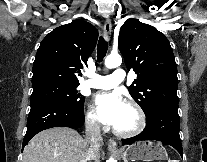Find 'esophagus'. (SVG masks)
<instances>
[{"mask_svg":"<svg viewBox=\"0 0 207 162\" xmlns=\"http://www.w3.org/2000/svg\"><path fill=\"white\" fill-rule=\"evenodd\" d=\"M111 29H112L111 20L109 17H107V19L105 20V23H104V37H105V39L110 38ZM108 148H109V150L116 152L118 150L116 141H114L113 139H110L108 141Z\"/></svg>","mask_w":207,"mask_h":162,"instance_id":"obj_1","label":"esophagus"}]
</instances>
